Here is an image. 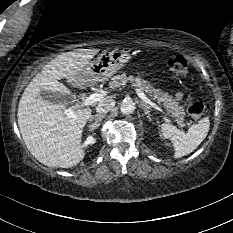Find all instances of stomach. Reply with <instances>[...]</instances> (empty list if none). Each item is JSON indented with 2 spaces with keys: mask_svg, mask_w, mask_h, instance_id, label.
Returning <instances> with one entry per match:
<instances>
[{
  "mask_svg": "<svg viewBox=\"0 0 233 233\" xmlns=\"http://www.w3.org/2000/svg\"><path fill=\"white\" fill-rule=\"evenodd\" d=\"M131 59L129 52L114 49L104 50L82 70L80 77L87 82H97L110 78Z\"/></svg>",
  "mask_w": 233,
  "mask_h": 233,
  "instance_id": "obj_1",
  "label": "stomach"
}]
</instances>
